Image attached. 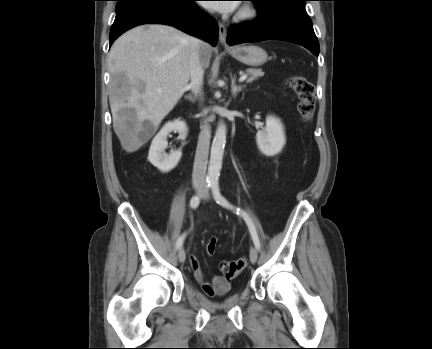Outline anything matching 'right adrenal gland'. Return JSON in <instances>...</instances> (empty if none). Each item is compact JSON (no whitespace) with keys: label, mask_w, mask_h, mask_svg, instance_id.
Listing matches in <instances>:
<instances>
[{"label":"right adrenal gland","mask_w":432,"mask_h":349,"mask_svg":"<svg viewBox=\"0 0 432 349\" xmlns=\"http://www.w3.org/2000/svg\"><path fill=\"white\" fill-rule=\"evenodd\" d=\"M185 98L190 100L191 102H194V101H196L197 95L196 94H193V95L189 94V95H186Z\"/></svg>","instance_id":"obj_1"}]
</instances>
